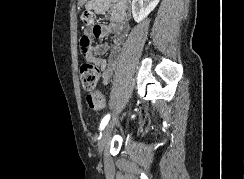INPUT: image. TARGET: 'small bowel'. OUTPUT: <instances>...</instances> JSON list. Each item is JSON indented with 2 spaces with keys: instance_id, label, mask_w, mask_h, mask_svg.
<instances>
[{
  "instance_id": "1",
  "label": "small bowel",
  "mask_w": 244,
  "mask_h": 179,
  "mask_svg": "<svg viewBox=\"0 0 244 179\" xmlns=\"http://www.w3.org/2000/svg\"><path fill=\"white\" fill-rule=\"evenodd\" d=\"M83 4L81 16L84 25L80 39L81 50L84 58L93 63L101 71L103 84H108L115 72L118 62L124 54V42L128 36L129 7L125 1L115 0H89ZM107 15L105 23H95V17ZM113 36L111 43L94 44L93 38ZM109 53L108 58L105 55Z\"/></svg>"
}]
</instances>
